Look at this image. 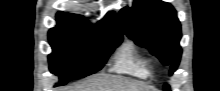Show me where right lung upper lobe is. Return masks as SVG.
Instances as JSON below:
<instances>
[{
    "label": "right lung upper lobe",
    "instance_id": "obj_1",
    "mask_svg": "<svg viewBox=\"0 0 220 91\" xmlns=\"http://www.w3.org/2000/svg\"><path fill=\"white\" fill-rule=\"evenodd\" d=\"M56 18L57 26L55 28L82 27L96 32L112 31L123 35L121 24L114 12H109L96 26H91L81 15L59 12Z\"/></svg>",
    "mask_w": 220,
    "mask_h": 91
}]
</instances>
